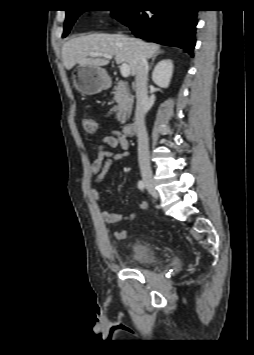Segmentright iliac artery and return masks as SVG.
<instances>
[{
    "instance_id": "1",
    "label": "right iliac artery",
    "mask_w": 254,
    "mask_h": 355,
    "mask_svg": "<svg viewBox=\"0 0 254 355\" xmlns=\"http://www.w3.org/2000/svg\"><path fill=\"white\" fill-rule=\"evenodd\" d=\"M138 188L142 191L145 189L144 181H142V180L138 181Z\"/></svg>"
}]
</instances>
